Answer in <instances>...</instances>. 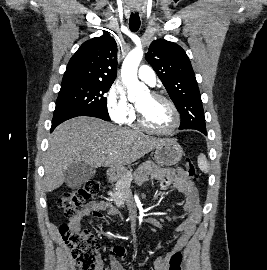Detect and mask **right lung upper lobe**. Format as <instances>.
Masks as SVG:
<instances>
[{"label":"right lung upper lobe","mask_w":267,"mask_h":270,"mask_svg":"<svg viewBox=\"0 0 267 270\" xmlns=\"http://www.w3.org/2000/svg\"><path fill=\"white\" fill-rule=\"evenodd\" d=\"M117 44L104 34L84 42L70 59L63 80L114 82Z\"/></svg>","instance_id":"obj_1"}]
</instances>
